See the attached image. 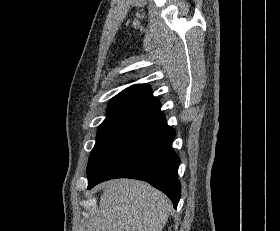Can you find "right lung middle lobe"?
Here are the masks:
<instances>
[{
	"label": "right lung middle lobe",
	"instance_id": "dd1d6c3e",
	"mask_svg": "<svg viewBox=\"0 0 280 231\" xmlns=\"http://www.w3.org/2000/svg\"><path fill=\"white\" fill-rule=\"evenodd\" d=\"M133 126L134 124L128 121L104 120L103 123L98 128L96 143L93 150L91 151L89 162L108 143H110L121 133H123L124 131H126L127 129Z\"/></svg>",
	"mask_w": 280,
	"mask_h": 231
}]
</instances>
